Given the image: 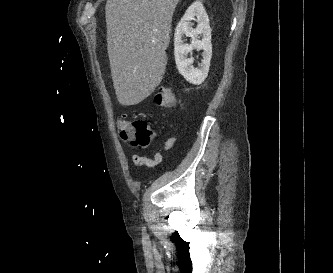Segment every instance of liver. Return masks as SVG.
<instances>
[{
  "mask_svg": "<svg viewBox=\"0 0 333 273\" xmlns=\"http://www.w3.org/2000/svg\"><path fill=\"white\" fill-rule=\"evenodd\" d=\"M180 0H107V49L117 100L140 103L161 83Z\"/></svg>",
  "mask_w": 333,
  "mask_h": 273,
  "instance_id": "liver-1",
  "label": "liver"
}]
</instances>
